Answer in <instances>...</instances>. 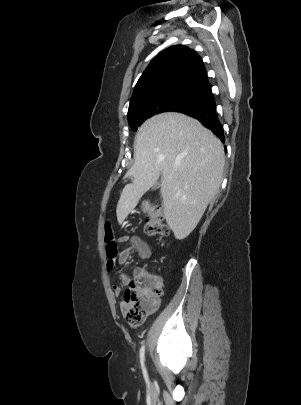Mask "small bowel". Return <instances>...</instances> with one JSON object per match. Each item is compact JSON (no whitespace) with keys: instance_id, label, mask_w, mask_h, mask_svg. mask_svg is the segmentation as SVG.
Returning a JSON list of instances; mask_svg holds the SVG:
<instances>
[{"instance_id":"obj_1","label":"small bowel","mask_w":301,"mask_h":405,"mask_svg":"<svg viewBox=\"0 0 301 405\" xmlns=\"http://www.w3.org/2000/svg\"><path fill=\"white\" fill-rule=\"evenodd\" d=\"M124 243H128V247L122 249L121 251H118L114 257L108 258V270H112L117 263L121 266H124L128 263V261L134 254L142 259H148L152 255V251L148 243L139 236L124 235L118 239V244ZM120 280L123 285H127L131 281V278L127 275L121 274ZM113 291L116 296H120L122 293V287L120 285H114Z\"/></svg>"}]
</instances>
